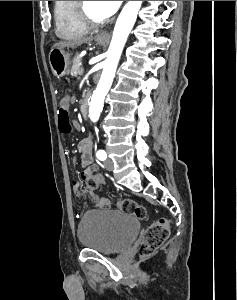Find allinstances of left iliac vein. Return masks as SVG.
<instances>
[{"label": "left iliac vein", "instance_id": "4c4485c4", "mask_svg": "<svg viewBox=\"0 0 237 300\" xmlns=\"http://www.w3.org/2000/svg\"><path fill=\"white\" fill-rule=\"evenodd\" d=\"M104 166L107 170L112 171L114 168L113 161L111 159H106L104 162Z\"/></svg>", "mask_w": 237, "mask_h": 300}]
</instances>
